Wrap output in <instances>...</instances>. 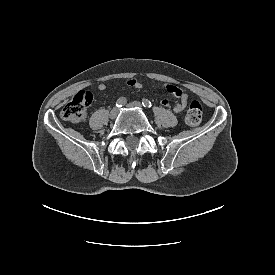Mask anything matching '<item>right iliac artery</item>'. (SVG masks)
<instances>
[{
	"label": "right iliac artery",
	"instance_id": "1",
	"mask_svg": "<svg viewBox=\"0 0 275 275\" xmlns=\"http://www.w3.org/2000/svg\"><path fill=\"white\" fill-rule=\"evenodd\" d=\"M126 103V99L124 98H119L117 101H116V107L120 108L122 107L123 105H125Z\"/></svg>",
	"mask_w": 275,
	"mask_h": 275
}]
</instances>
